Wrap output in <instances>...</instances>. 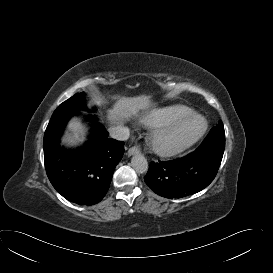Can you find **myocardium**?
Segmentation results:
<instances>
[{"instance_id":"obj_1","label":"myocardium","mask_w":273,"mask_h":273,"mask_svg":"<svg viewBox=\"0 0 273 273\" xmlns=\"http://www.w3.org/2000/svg\"><path fill=\"white\" fill-rule=\"evenodd\" d=\"M186 126H191V133L184 139H175L174 135ZM207 127V121L202 115L190 113L173 125L154 128L149 137V143L157 154L172 156L185 151L199 141L205 134Z\"/></svg>"}]
</instances>
